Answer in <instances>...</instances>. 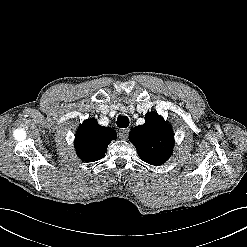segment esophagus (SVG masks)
Wrapping results in <instances>:
<instances>
[{"mask_svg":"<svg viewBox=\"0 0 247 247\" xmlns=\"http://www.w3.org/2000/svg\"><path fill=\"white\" fill-rule=\"evenodd\" d=\"M128 133H129V130L128 129H120L119 132H118V136L120 139H127L128 137Z\"/></svg>","mask_w":247,"mask_h":247,"instance_id":"obj_1","label":"esophagus"}]
</instances>
